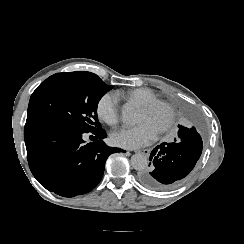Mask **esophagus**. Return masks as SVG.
<instances>
[{
	"label": "esophagus",
	"mask_w": 244,
	"mask_h": 244,
	"mask_svg": "<svg viewBox=\"0 0 244 244\" xmlns=\"http://www.w3.org/2000/svg\"><path fill=\"white\" fill-rule=\"evenodd\" d=\"M151 150L149 148L147 149H140V150H136L135 153H139V154H143L145 156H149Z\"/></svg>",
	"instance_id": "esophagus-1"
}]
</instances>
